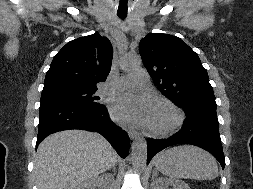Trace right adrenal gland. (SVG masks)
I'll use <instances>...</instances> for the list:
<instances>
[{
	"instance_id": "right-adrenal-gland-1",
	"label": "right adrenal gland",
	"mask_w": 253,
	"mask_h": 189,
	"mask_svg": "<svg viewBox=\"0 0 253 189\" xmlns=\"http://www.w3.org/2000/svg\"><path fill=\"white\" fill-rule=\"evenodd\" d=\"M112 170H113V173L115 174L116 173V166H113L112 167ZM109 174V173H108Z\"/></svg>"
}]
</instances>
